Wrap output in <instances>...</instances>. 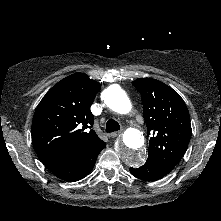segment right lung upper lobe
Wrapping results in <instances>:
<instances>
[{
  "label": "right lung upper lobe",
  "mask_w": 221,
  "mask_h": 221,
  "mask_svg": "<svg viewBox=\"0 0 221 221\" xmlns=\"http://www.w3.org/2000/svg\"><path fill=\"white\" fill-rule=\"evenodd\" d=\"M100 88L86 74L75 73L43 97L34 113L31 135L46 167L72 160L103 142L91 129L90 107Z\"/></svg>",
  "instance_id": "cb5924a9"
}]
</instances>
